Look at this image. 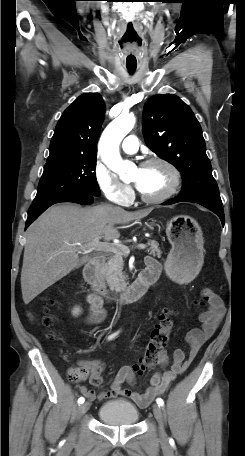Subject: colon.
Segmentation results:
<instances>
[{"mask_svg": "<svg viewBox=\"0 0 245 456\" xmlns=\"http://www.w3.org/2000/svg\"><path fill=\"white\" fill-rule=\"evenodd\" d=\"M50 303L53 304L54 302ZM44 324L48 327L51 326L53 324L52 317L46 315L44 318ZM172 326L173 321L169 312L162 314L153 324L144 356L134 368L138 374H143L144 372L154 368L162 360L165 348L168 344ZM87 374L88 371L84 367H76L71 369L69 378L71 381L78 382L83 380Z\"/></svg>", "mask_w": 245, "mask_h": 456, "instance_id": "1", "label": "colon"}]
</instances>
